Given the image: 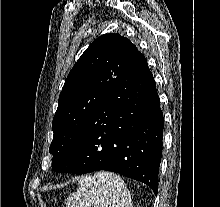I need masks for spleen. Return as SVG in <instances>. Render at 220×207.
Here are the masks:
<instances>
[{"instance_id":"3e777b00","label":"spleen","mask_w":220,"mask_h":207,"mask_svg":"<svg viewBox=\"0 0 220 207\" xmlns=\"http://www.w3.org/2000/svg\"><path fill=\"white\" fill-rule=\"evenodd\" d=\"M77 193L67 199V207H132L124 180L112 172H97L79 180Z\"/></svg>"}]
</instances>
